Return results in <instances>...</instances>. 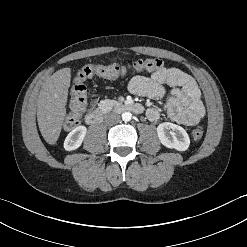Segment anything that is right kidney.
<instances>
[{"label":"right kidney","instance_id":"right-kidney-1","mask_svg":"<svg viewBox=\"0 0 247 247\" xmlns=\"http://www.w3.org/2000/svg\"><path fill=\"white\" fill-rule=\"evenodd\" d=\"M87 133L85 126H78L73 129L66 137L64 141V148L67 151L75 150L79 148Z\"/></svg>","mask_w":247,"mask_h":247}]
</instances>
